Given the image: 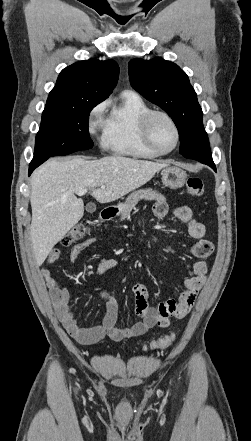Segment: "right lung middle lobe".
Listing matches in <instances>:
<instances>
[{
  "label": "right lung middle lobe",
  "mask_w": 251,
  "mask_h": 441,
  "mask_svg": "<svg viewBox=\"0 0 251 441\" xmlns=\"http://www.w3.org/2000/svg\"><path fill=\"white\" fill-rule=\"evenodd\" d=\"M104 99L90 97L71 105H47L35 141V157L68 155L93 147L90 111Z\"/></svg>",
  "instance_id": "dd1d6c3e"
}]
</instances>
